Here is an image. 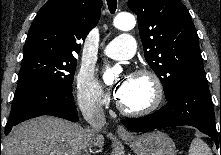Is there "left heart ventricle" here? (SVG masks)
<instances>
[{
	"instance_id": "left-heart-ventricle-1",
	"label": "left heart ventricle",
	"mask_w": 221,
	"mask_h": 155,
	"mask_svg": "<svg viewBox=\"0 0 221 155\" xmlns=\"http://www.w3.org/2000/svg\"><path fill=\"white\" fill-rule=\"evenodd\" d=\"M154 97L151 80L144 76H132L126 93L120 98L128 109L138 110L148 106Z\"/></svg>"
}]
</instances>
